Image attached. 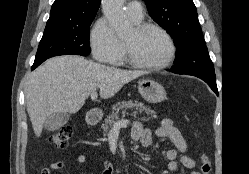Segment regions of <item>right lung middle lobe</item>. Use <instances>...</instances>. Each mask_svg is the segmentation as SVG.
Listing matches in <instances>:
<instances>
[{
	"label": "right lung middle lobe",
	"instance_id": "1",
	"mask_svg": "<svg viewBox=\"0 0 249 174\" xmlns=\"http://www.w3.org/2000/svg\"><path fill=\"white\" fill-rule=\"evenodd\" d=\"M92 21L44 31L34 63H42L46 59L58 55L75 54L88 56L91 52L89 46V26Z\"/></svg>",
	"mask_w": 249,
	"mask_h": 174
}]
</instances>
